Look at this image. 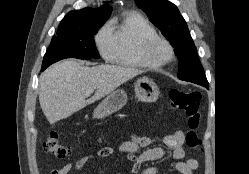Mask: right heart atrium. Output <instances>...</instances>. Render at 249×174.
Instances as JSON below:
<instances>
[{"instance_id":"d8ad5b80","label":"right heart atrium","mask_w":249,"mask_h":174,"mask_svg":"<svg viewBox=\"0 0 249 174\" xmlns=\"http://www.w3.org/2000/svg\"><path fill=\"white\" fill-rule=\"evenodd\" d=\"M95 44L101 56L110 60L114 50V41L108 26H103L98 31L95 36Z\"/></svg>"}]
</instances>
